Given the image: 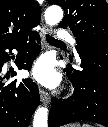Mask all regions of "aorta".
<instances>
[{
	"mask_svg": "<svg viewBox=\"0 0 108 127\" xmlns=\"http://www.w3.org/2000/svg\"><path fill=\"white\" fill-rule=\"evenodd\" d=\"M45 21L49 26H54L63 19V10L60 6L52 5L45 11ZM48 109L39 107L34 115L33 127H47Z\"/></svg>",
	"mask_w": 108,
	"mask_h": 127,
	"instance_id": "762f6f07",
	"label": "aorta"
}]
</instances>
